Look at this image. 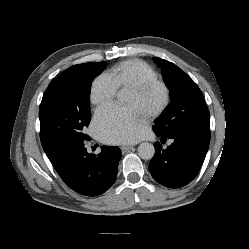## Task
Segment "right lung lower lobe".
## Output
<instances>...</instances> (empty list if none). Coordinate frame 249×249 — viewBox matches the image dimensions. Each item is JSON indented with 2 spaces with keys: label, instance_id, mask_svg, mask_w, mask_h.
Masks as SVG:
<instances>
[{
  "label": "right lung lower lobe",
  "instance_id": "1",
  "mask_svg": "<svg viewBox=\"0 0 249 249\" xmlns=\"http://www.w3.org/2000/svg\"><path fill=\"white\" fill-rule=\"evenodd\" d=\"M62 180L74 191L97 196L108 190L117 176L121 157L118 147H101L98 155L89 154L84 142H67L45 151Z\"/></svg>",
  "mask_w": 249,
  "mask_h": 249
}]
</instances>
